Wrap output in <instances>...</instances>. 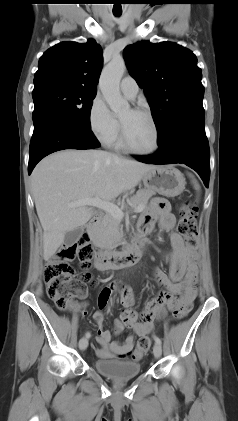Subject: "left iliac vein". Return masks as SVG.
Segmentation results:
<instances>
[{
	"instance_id": "1",
	"label": "left iliac vein",
	"mask_w": 238,
	"mask_h": 421,
	"mask_svg": "<svg viewBox=\"0 0 238 421\" xmlns=\"http://www.w3.org/2000/svg\"><path fill=\"white\" fill-rule=\"evenodd\" d=\"M153 353L156 358H159L162 354V348L159 343H155L153 347Z\"/></svg>"
}]
</instances>
